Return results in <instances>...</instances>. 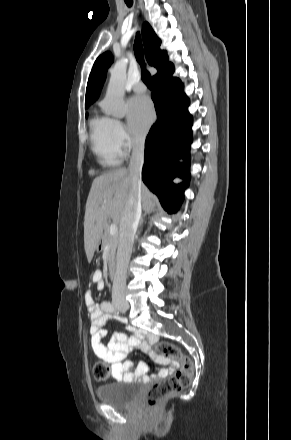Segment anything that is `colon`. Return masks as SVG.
<instances>
[{
  "mask_svg": "<svg viewBox=\"0 0 291 440\" xmlns=\"http://www.w3.org/2000/svg\"><path fill=\"white\" fill-rule=\"evenodd\" d=\"M152 353L155 358L176 359L180 364L179 370L173 376L155 382L148 389L144 400L145 405L148 408L155 409L163 400L190 385L194 375V365L191 359L170 342L160 341L155 343ZM93 373L97 381H106L111 376L110 367L106 363L96 364Z\"/></svg>",
  "mask_w": 291,
  "mask_h": 440,
  "instance_id": "1",
  "label": "colon"
}]
</instances>
